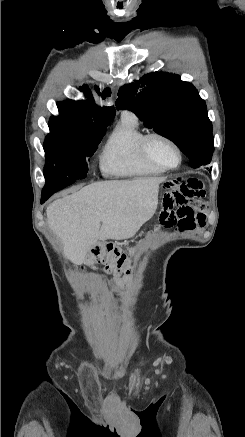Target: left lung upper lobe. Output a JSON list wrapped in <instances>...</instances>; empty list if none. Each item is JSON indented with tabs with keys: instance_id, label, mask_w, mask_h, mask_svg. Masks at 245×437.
I'll list each match as a JSON object with an SVG mask.
<instances>
[{
	"instance_id": "1",
	"label": "left lung upper lobe",
	"mask_w": 245,
	"mask_h": 437,
	"mask_svg": "<svg viewBox=\"0 0 245 437\" xmlns=\"http://www.w3.org/2000/svg\"><path fill=\"white\" fill-rule=\"evenodd\" d=\"M135 82L120 87L117 108L131 110L147 128L173 141L193 168L209 164L212 124L196 88L165 72L149 73Z\"/></svg>"
}]
</instances>
